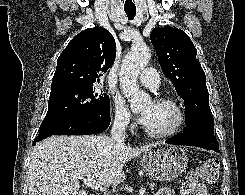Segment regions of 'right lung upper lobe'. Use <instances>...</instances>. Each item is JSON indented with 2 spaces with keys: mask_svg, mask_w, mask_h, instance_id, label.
Returning a JSON list of instances; mask_svg holds the SVG:
<instances>
[{
  "mask_svg": "<svg viewBox=\"0 0 245 195\" xmlns=\"http://www.w3.org/2000/svg\"><path fill=\"white\" fill-rule=\"evenodd\" d=\"M116 43L102 28H88L76 35L57 60L51 92L93 86L114 63Z\"/></svg>",
  "mask_w": 245,
  "mask_h": 195,
  "instance_id": "obj_1",
  "label": "right lung upper lobe"
}]
</instances>
